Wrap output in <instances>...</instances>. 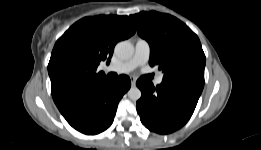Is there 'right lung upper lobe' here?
I'll use <instances>...</instances> for the list:
<instances>
[{
  "instance_id": "1",
  "label": "right lung upper lobe",
  "mask_w": 261,
  "mask_h": 150,
  "mask_svg": "<svg viewBox=\"0 0 261 150\" xmlns=\"http://www.w3.org/2000/svg\"><path fill=\"white\" fill-rule=\"evenodd\" d=\"M135 31L127 16L85 17L73 24L55 43L48 64L55 104L109 80L96 72L99 63L109 64L115 44Z\"/></svg>"
}]
</instances>
